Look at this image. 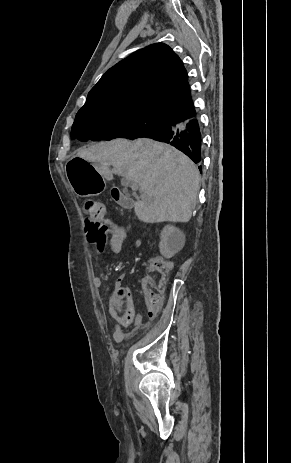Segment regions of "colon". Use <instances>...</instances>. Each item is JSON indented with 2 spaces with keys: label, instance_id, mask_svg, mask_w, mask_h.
<instances>
[{
  "label": "colon",
  "instance_id": "colon-1",
  "mask_svg": "<svg viewBox=\"0 0 291 463\" xmlns=\"http://www.w3.org/2000/svg\"><path fill=\"white\" fill-rule=\"evenodd\" d=\"M83 213L86 217V229H100L105 217V207L95 200H87L83 204ZM170 264L161 258H152L147 263V275L144 278L147 313L155 317L163 301L167 272ZM130 297L124 289L119 288L111 292V299L119 300Z\"/></svg>",
  "mask_w": 291,
  "mask_h": 463
}]
</instances>
